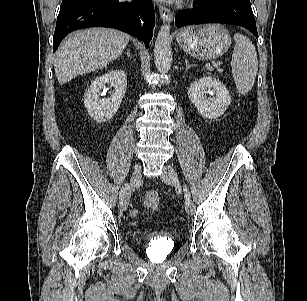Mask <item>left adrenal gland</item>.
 <instances>
[{
	"label": "left adrenal gland",
	"mask_w": 307,
	"mask_h": 301,
	"mask_svg": "<svg viewBox=\"0 0 307 301\" xmlns=\"http://www.w3.org/2000/svg\"><path fill=\"white\" fill-rule=\"evenodd\" d=\"M185 63H186V70L192 66H195L194 64H190L188 60H185Z\"/></svg>",
	"instance_id": "obj_1"
}]
</instances>
